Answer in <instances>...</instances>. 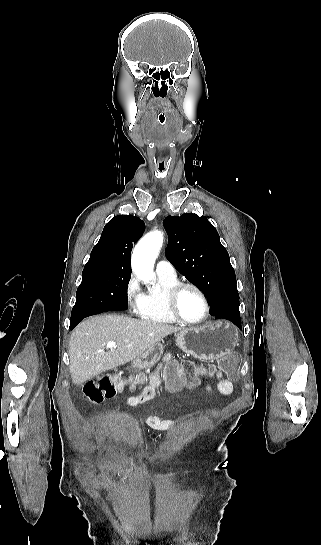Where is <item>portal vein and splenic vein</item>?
<instances>
[{"label": "portal vein and splenic vein", "mask_w": 321, "mask_h": 545, "mask_svg": "<svg viewBox=\"0 0 321 545\" xmlns=\"http://www.w3.org/2000/svg\"><path fill=\"white\" fill-rule=\"evenodd\" d=\"M106 347H107V349H111V351H112V349H115V347H116L115 341H110V343H107Z\"/></svg>", "instance_id": "1"}]
</instances>
